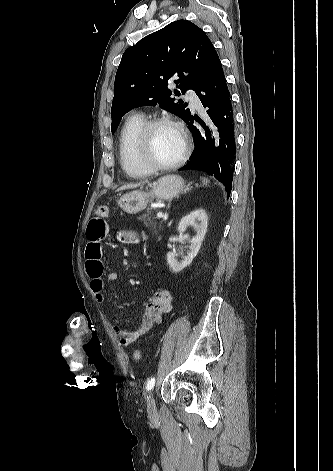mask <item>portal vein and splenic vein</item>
I'll use <instances>...</instances> for the list:
<instances>
[{"instance_id": "1", "label": "portal vein and splenic vein", "mask_w": 333, "mask_h": 471, "mask_svg": "<svg viewBox=\"0 0 333 471\" xmlns=\"http://www.w3.org/2000/svg\"><path fill=\"white\" fill-rule=\"evenodd\" d=\"M157 217H158V218H163L164 220H167V219H168V217H166L162 212H158V213H157Z\"/></svg>"}]
</instances>
